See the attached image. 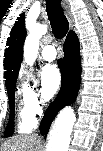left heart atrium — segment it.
Returning <instances> with one entry per match:
<instances>
[{"mask_svg": "<svg viewBox=\"0 0 103 151\" xmlns=\"http://www.w3.org/2000/svg\"><path fill=\"white\" fill-rule=\"evenodd\" d=\"M42 95L46 100L51 99L61 85V74L57 66L47 65L42 74Z\"/></svg>", "mask_w": 103, "mask_h": 151, "instance_id": "obj_1", "label": "left heart atrium"}]
</instances>
